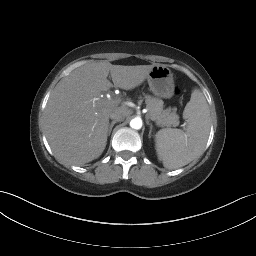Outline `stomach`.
<instances>
[{"label":"stomach","instance_id":"1","mask_svg":"<svg viewBox=\"0 0 256 256\" xmlns=\"http://www.w3.org/2000/svg\"><path fill=\"white\" fill-rule=\"evenodd\" d=\"M152 93L161 98H171L174 94V80L170 69L165 65H155L147 76Z\"/></svg>","mask_w":256,"mask_h":256}]
</instances>
